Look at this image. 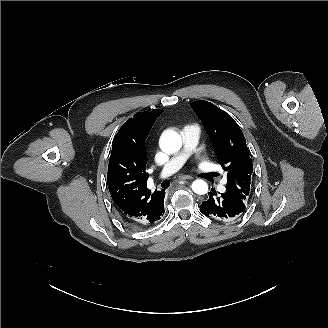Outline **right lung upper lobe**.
Returning <instances> with one entry per match:
<instances>
[{"mask_svg":"<svg viewBox=\"0 0 328 328\" xmlns=\"http://www.w3.org/2000/svg\"><path fill=\"white\" fill-rule=\"evenodd\" d=\"M163 112H139L119 129L113 139L107 184L121 217L127 223L144 227L158 218L164 190L147 189L145 140L155 120Z\"/></svg>","mask_w":328,"mask_h":328,"instance_id":"obj_1","label":"right lung upper lobe"}]
</instances>
